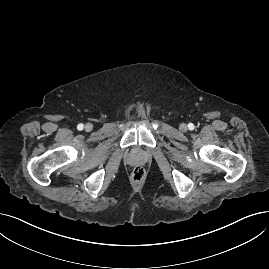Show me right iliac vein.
Masks as SVG:
<instances>
[{
	"mask_svg": "<svg viewBox=\"0 0 269 269\" xmlns=\"http://www.w3.org/2000/svg\"><path fill=\"white\" fill-rule=\"evenodd\" d=\"M93 129V125L91 123H87L85 125V131L89 132Z\"/></svg>",
	"mask_w": 269,
	"mask_h": 269,
	"instance_id": "1",
	"label": "right iliac vein"
}]
</instances>
